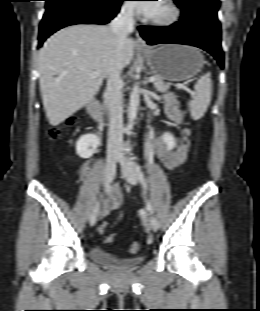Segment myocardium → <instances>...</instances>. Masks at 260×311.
<instances>
[{
	"label": "myocardium",
	"instance_id": "obj_1",
	"mask_svg": "<svg viewBox=\"0 0 260 311\" xmlns=\"http://www.w3.org/2000/svg\"><path fill=\"white\" fill-rule=\"evenodd\" d=\"M166 4L169 14L165 17L154 18L148 17L147 21L158 27H169L177 23L181 16V9L174 0H163Z\"/></svg>",
	"mask_w": 260,
	"mask_h": 311
}]
</instances>
